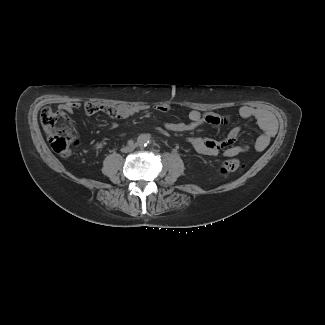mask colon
I'll use <instances>...</instances> for the list:
<instances>
[{
	"instance_id": "5ec220e1",
	"label": "colon",
	"mask_w": 325,
	"mask_h": 325,
	"mask_svg": "<svg viewBox=\"0 0 325 325\" xmlns=\"http://www.w3.org/2000/svg\"><path fill=\"white\" fill-rule=\"evenodd\" d=\"M41 124L47 134L51 148L62 156L69 155L77 139L66 117L61 111L45 107L40 113ZM243 168L239 159L230 158L222 162L220 172L223 174L236 172Z\"/></svg>"
}]
</instances>
